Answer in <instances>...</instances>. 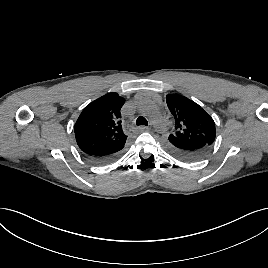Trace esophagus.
<instances>
[{"label": "esophagus", "instance_id": "34e87169", "mask_svg": "<svg viewBox=\"0 0 268 268\" xmlns=\"http://www.w3.org/2000/svg\"><path fill=\"white\" fill-rule=\"evenodd\" d=\"M141 129L146 130V129H148V127L142 126Z\"/></svg>", "mask_w": 268, "mask_h": 268}]
</instances>
